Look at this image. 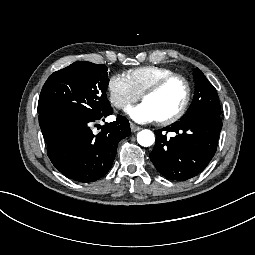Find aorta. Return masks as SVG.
<instances>
[{"mask_svg":"<svg viewBox=\"0 0 255 255\" xmlns=\"http://www.w3.org/2000/svg\"><path fill=\"white\" fill-rule=\"evenodd\" d=\"M137 141L141 146L148 147L155 142V136L150 130H142L137 134Z\"/></svg>","mask_w":255,"mask_h":255,"instance_id":"762f6f07","label":"aorta"}]
</instances>
